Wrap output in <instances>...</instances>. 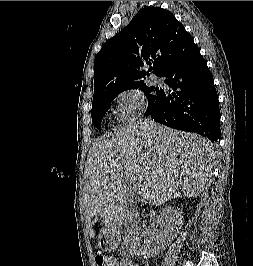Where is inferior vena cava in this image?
Instances as JSON below:
<instances>
[{
  "mask_svg": "<svg viewBox=\"0 0 253 266\" xmlns=\"http://www.w3.org/2000/svg\"><path fill=\"white\" fill-rule=\"evenodd\" d=\"M131 217L129 216V214H127V219H128V222H130L131 221V219H130ZM130 228H128V230H129Z\"/></svg>",
  "mask_w": 253,
  "mask_h": 266,
  "instance_id": "1",
  "label": "inferior vena cava"
}]
</instances>
